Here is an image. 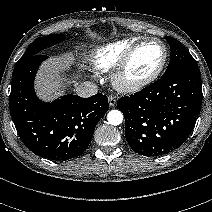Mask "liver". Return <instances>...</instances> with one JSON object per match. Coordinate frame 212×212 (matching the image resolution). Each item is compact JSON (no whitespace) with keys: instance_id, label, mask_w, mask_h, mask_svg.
Masks as SVG:
<instances>
[{"instance_id":"liver-1","label":"liver","mask_w":212,"mask_h":212,"mask_svg":"<svg viewBox=\"0 0 212 212\" xmlns=\"http://www.w3.org/2000/svg\"><path fill=\"white\" fill-rule=\"evenodd\" d=\"M66 66L60 62H45L36 78V90L44 100H52L64 93V82H74L66 76Z\"/></svg>"}]
</instances>
